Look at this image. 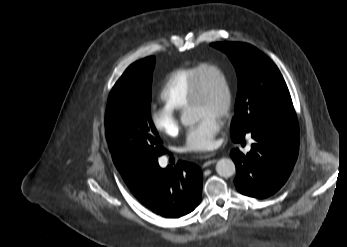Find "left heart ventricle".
<instances>
[{
  "label": "left heart ventricle",
  "mask_w": 347,
  "mask_h": 247,
  "mask_svg": "<svg viewBox=\"0 0 347 247\" xmlns=\"http://www.w3.org/2000/svg\"><path fill=\"white\" fill-rule=\"evenodd\" d=\"M225 101L224 85L221 77L214 71L203 76V99L198 105L189 107L195 119L210 115L220 117Z\"/></svg>",
  "instance_id": "b2bd125f"
}]
</instances>
